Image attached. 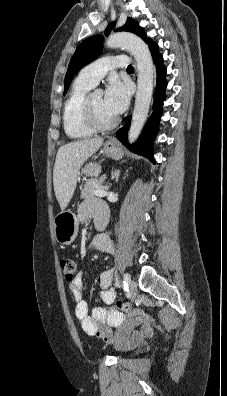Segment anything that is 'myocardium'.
<instances>
[{"label":"myocardium","instance_id":"myocardium-1","mask_svg":"<svg viewBox=\"0 0 227 396\" xmlns=\"http://www.w3.org/2000/svg\"><path fill=\"white\" fill-rule=\"evenodd\" d=\"M83 113L87 124L95 131H106L112 129L118 123L117 118H113L109 121H102L93 109L90 97H86L84 100Z\"/></svg>","mask_w":227,"mask_h":396}]
</instances>
